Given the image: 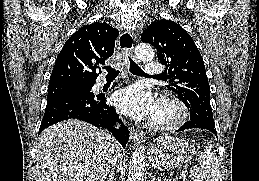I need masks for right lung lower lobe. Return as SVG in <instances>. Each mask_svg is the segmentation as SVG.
<instances>
[{"mask_svg":"<svg viewBox=\"0 0 259 181\" xmlns=\"http://www.w3.org/2000/svg\"><path fill=\"white\" fill-rule=\"evenodd\" d=\"M88 84H91L92 88L95 82ZM105 101L103 95L86 92H72L56 97L47 102L39 133L55 123L73 118L88 122L96 127L108 129L124 147L129 133L120 121L115 108L107 105ZM116 122L121 124L119 130L114 127Z\"/></svg>","mask_w":259,"mask_h":181,"instance_id":"98d812e1","label":"right lung lower lobe"}]
</instances>
